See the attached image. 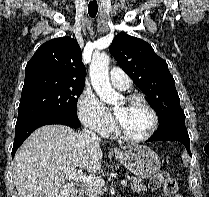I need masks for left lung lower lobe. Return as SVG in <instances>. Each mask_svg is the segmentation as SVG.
<instances>
[{
    "label": "left lung lower lobe",
    "mask_w": 209,
    "mask_h": 197,
    "mask_svg": "<svg viewBox=\"0 0 209 197\" xmlns=\"http://www.w3.org/2000/svg\"><path fill=\"white\" fill-rule=\"evenodd\" d=\"M179 141L186 147L189 154L190 152V138L187 128L185 126V118H175L166 121L159 125L156 132L147 140L151 141Z\"/></svg>",
    "instance_id": "left-lung-lower-lobe-1"
}]
</instances>
